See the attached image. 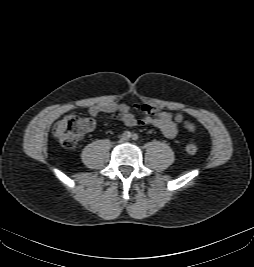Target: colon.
I'll return each instance as SVG.
<instances>
[{"mask_svg": "<svg viewBox=\"0 0 254 267\" xmlns=\"http://www.w3.org/2000/svg\"><path fill=\"white\" fill-rule=\"evenodd\" d=\"M94 125L95 122L91 118L69 115L54 125L53 134L65 148H73L94 128ZM185 149L188 154L194 155L198 151V146L195 142H189Z\"/></svg>", "mask_w": 254, "mask_h": 267, "instance_id": "obj_1", "label": "colon"}]
</instances>
